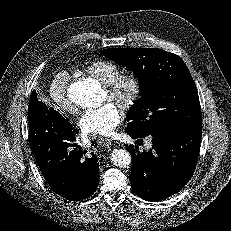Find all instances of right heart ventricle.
I'll return each mask as SVG.
<instances>
[{
  "label": "right heart ventricle",
  "mask_w": 231,
  "mask_h": 231,
  "mask_svg": "<svg viewBox=\"0 0 231 231\" xmlns=\"http://www.w3.org/2000/svg\"><path fill=\"white\" fill-rule=\"evenodd\" d=\"M82 72L101 85L107 86L122 74V69L112 61L97 60L85 65Z\"/></svg>",
  "instance_id": "obj_1"
}]
</instances>
